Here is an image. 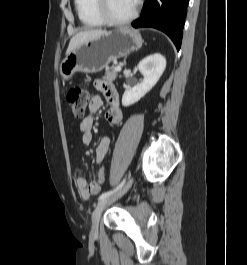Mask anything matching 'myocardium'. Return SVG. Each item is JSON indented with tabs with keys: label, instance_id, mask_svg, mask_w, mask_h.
Returning a JSON list of instances; mask_svg holds the SVG:
<instances>
[{
	"label": "myocardium",
	"instance_id": "1",
	"mask_svg": "<svg viewBox=\"0 0 247 265\" xmlns=\"http://www.w3.org/2000/svg\"><path fill=\"white\" fill-rule=\"evenodd\" d=\"M108 2V0H95V9L104 23L111 26H124L133 22L138 17L142 5V0H136L132 13L126 18L118 19L111 15Z\"/></svg>",
	"mask_w": 247,
	"mask_h": 265
}]
</instances>
